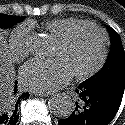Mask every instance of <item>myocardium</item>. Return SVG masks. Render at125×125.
I'll return each mask as SVG.
<instances>
[{
  "label": "myocardium",
  "mask_w": 125,
  "mask_h": 125,
  "mask_svg": "<svg viewBox=\"0 0 125 125\" xmlns=\"http://www.w3.org/2000/svg\"><path fill=\"white\" fill-rule=\"evenodd\" d=\"M87 27L96 30L101 35V37H102L101 53L99 55L98 60L91 68H89L86 71L73 74L74 78H76L78 80H85V79L93 76L94 74L99 72L101 70V68L104 66L106 59H107V56H108V53H109V43H110L107 31L104 28H102L100 25H98L94 22L83 21L79 24H76V25L70 27L56 41L61 46H65L66 44H68L70 42V40L73 38V36L79 30H81L83 28H87Z\"/></svg>",
  "instance_id": "f54148a6"
}]
</instances>
